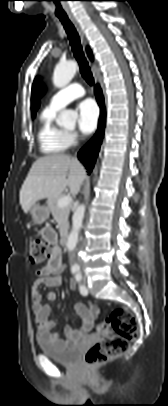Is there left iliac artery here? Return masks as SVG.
<instances>
[{"label": "left iliac artery", "instance_id": "obj_1", "mask_svg": "<svg viewBox=\"0 0 168 406\" xmlns=\"http://www.w3.org/2000/svg\"><path fill=\"white\" fill-rule=\"evenodd\" d=\"M75 279H76V281L79 283V291H80V293H81L82 295H87V294H88L87 288H86L83 284H81L82 275H81L80 272L76 273Z\"/></svg>", "mask_w": 168, "mask_h": 406}]
</instances>
